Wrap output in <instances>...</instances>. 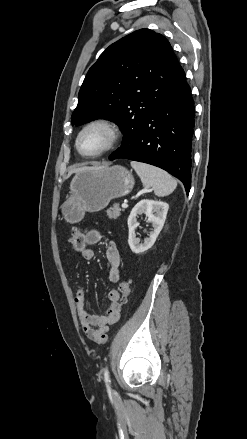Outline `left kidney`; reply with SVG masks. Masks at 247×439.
<instances>
[{
    "label": "left kidney",
    "mask_w": 247,
    "mask_h": 439,
    "mask_svg": "<svg viewBox=\"0 0 247 439\" xmlns=\"http://www.w3.org/2000/svg\"><path fill=\"white\" fill-rule=\"evenodd\" d=\"M168 209L169 205L166 202L148 199L141 200L134 206L128 217V243L133 253H143L153 246L163 228ZM143 213L148 218V222L152 223L153 231L150 232L149 238L144 239V243L142 244L140 243V239L136 237L135 230L139 226L137 216Z\"/></svg>",
    "instance_id": "1"
}]
</instances>
